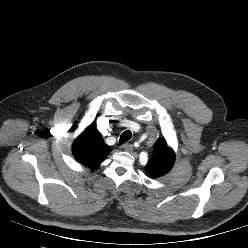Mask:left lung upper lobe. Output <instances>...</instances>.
<instances>
[{
  "mask_svg": "<svg viewBox=\"0 0 248 248\" xmlns=\"http://www.w3.org/2000/svg\"><path fill=\"white\" fill-rule=\"evenodd\" d=\"M175 162V153L166 144L164 138H160L154 145L152 157L149 159L145 171L151 178H157L168 173Z\"/></svg>",
  "mask_w": 248,
  "mask_h": 248,
  "instance_id": "obj_1",
  "label": "left lung upper lobe"
}]
</instances>
